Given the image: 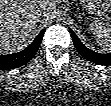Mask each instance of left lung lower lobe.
<instances>
[{"instance_id": "obj_1", "label": "left lung lower lobe", "mask_w": 111, "mask_h": 106, "mask_svg": "<svg viewBox=\"0 0 111 106\" xmlns=\"http://www.w3.org/2000/svg\"><path fill=\"white\" fill-rule=\"evenodd\" d=\"M71 36L78 52L87 60L100 65H111V53L101 54L85 47L75 33L71 30Z\"/></svg>"}]
</instances>
